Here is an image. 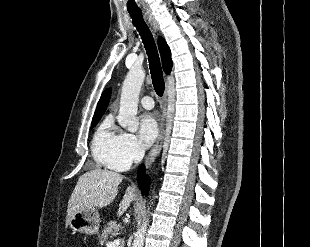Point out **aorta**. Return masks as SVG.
Returning a JSON list of instances; mask_svg holds the SVG:
<instances>
[{
  "mask_svg": "<svg viewBox=\"0 0 310 247\" xmlns=\"http://www.w3.org/2000/svg\"><path fill=\"white\" fill-rule=\"evenodd\" d=\"M144 79L145 72L143 69L132 68L127 73L122 86L118 122L121 127L132 133L136 132L139 126L137 110L139 94ZM148 213H150L149 208ZM148 216L145 218L142 226L135 233L132 247H143L146 230L149 223Z\"/></svg>",
  "mask_w": 310,
  "mask_h": 247,
  "instance_id": "1",
  "label": "aorta"
}]
</instances>
